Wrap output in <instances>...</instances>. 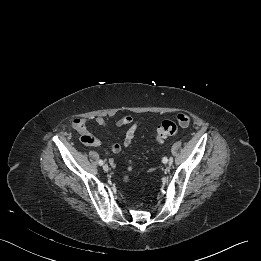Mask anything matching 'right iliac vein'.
I'll list each match as a JSON object with an SVG mask.
<instances>
[{
    "instance_id": "obj_1",
    "label": "right iliac vein",
    "mask_w": 261,
    "mask_h": 261,
    "mask_svg": "<svg viewBox=\"0 0 261 261\" xmlns=\"http://www.w3.org/2000/svg\"><path fill=\"white\" fill-rule=\"evenodd\" d=\"M103 170H104V171H108V170H109V167H108L107 164H104V165H103Z\"/></svg>"
}]
</instances>
